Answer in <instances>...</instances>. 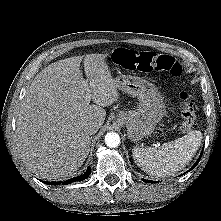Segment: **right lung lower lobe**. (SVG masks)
Masks as SVG:
<instances>
[{
  "label": "right lung lower lobe",
  "mask_w": 221,
  "mask_h": 221,
  "mask_svg": "<svg viewBox=\"0 0 221 221\" xmlns=\"http://www.w3.org/2000/svg\"><path fill=\"white\" fill-rule=\"evenodd\" d=\"M89 174H90V168L87 169V171L83 175L68 179V180L63 181V182H48L46 184H52V185L63 184V185H66V184H70V183H73V182H76V181L84 180L85 178H87L89 176Z\"/></svg>",
  "instance_id": "1"
}]
</instances>
